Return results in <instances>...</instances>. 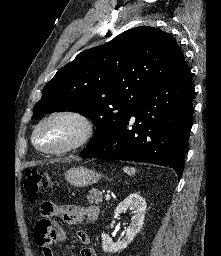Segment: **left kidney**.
<instances>
[{
    "label": "left kidney",
    "instance_id": "5707ae66",
    "mask_svg": "<svg viewBox=\"0 0 221 256\" xmlns=\"http://www.w3.org/2000/svg\"><path fill=\"white\" fill-rule=\"evenodd\" d=\"M127 209L133 210V216L131 217L129 227L126 230V236L122 239V241L114 243L110 236L103 232L101 237L102 249L104 252L115 253L125 249L142 228L146 211L145 199L138 193L130 194L126 199L118 204L116 207V212L122 213Z\"/></svg>",
    "mask_w": 221,
    "mask_h": 256
}]
</instances>
